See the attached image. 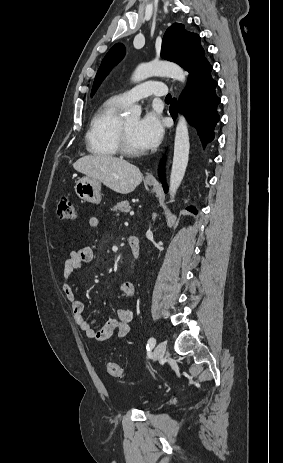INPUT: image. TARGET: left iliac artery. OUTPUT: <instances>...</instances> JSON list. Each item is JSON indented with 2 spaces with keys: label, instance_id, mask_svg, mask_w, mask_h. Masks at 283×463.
<instances>
[{
  "label": "left iliac artery",
  "instance_id": "1",
  "mask_svg": "<svg viewBox=\"0 0 283 463\" xmlns=\"http://www.w3.org/2000/svg\"><path fill=\"white\" fill-rule=\"evenodd\" d=\"M155 344H156L155 338L151 337L147 343V350L152 349L155 346Z\"/></svg>",
  "mask_w": 283,
  "mask_h": 463
}]
</instances>
